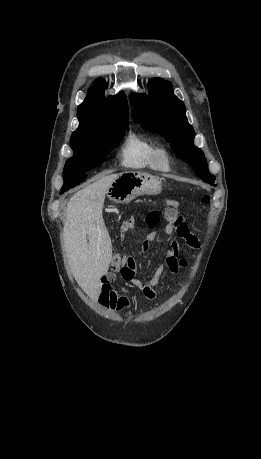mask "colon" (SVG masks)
I'll list each match as a JSON object with an SVG mask.
<instances>
[{
  "instance_id": "obj_1",
  "label": "colon",
  "mask_w": 261,
  "mask_h": 459,
  "mask_svg": "<svg viewBox=\"0 0 261 459\" xmlns=\"http://www.w3.org/2000/svg\"><path fill=\"white\" fill-rule=\"evenodd\" d=\"M203 204H208L210 201L209 196L205 195L202 198ZM179 203L174 199H167L166 208L164 216L168 222H172L175 227L180 231L183 229L185 222L182 216L178 213ZM145 225L150 229H155L160 223V216L157 212L151 211L147 213L144 217ZM124 259V254L122 252H117L112 260V270L120 271L122 269V260Z\"/></svg>"
}]
</instances>
